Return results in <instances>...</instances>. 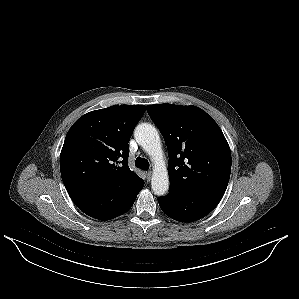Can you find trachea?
Segmentation results:
<instances>
[{
    "mask_svg": "<svg viewBox=\"0 0 299 299\" xmlns=\"http://www.w3.org/2000/svg\"><path fill=\"white\" fill-rule=\"evenodd\" d=\"M135 166L142 169L148 170L149 169V162L145 158L137 157L135 161Z\"/></svg>",
    "mask_w": 299,
    "mask_h": 299,
    "instance_id": "trachea-1",
    "label": "trachea"
}]
</instances>
